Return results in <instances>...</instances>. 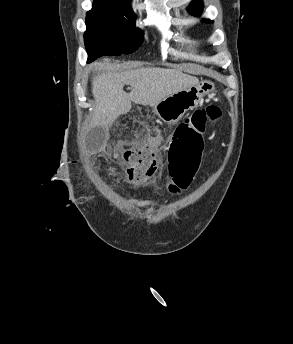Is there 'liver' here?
Here are the masks:
<instances>
[{"instance_id":"liver-1","label":"liver","mask_w":293,"mask_h":344,"mask_svg":"<svg viewBox=\"0 0 293 344\" xmlns=\"http://www.w3.org/2000/svg\"><path fill=\"white\" fill-rule=\"evenodd\" d=\"M199 83L197 77L177 69L141 68L123 73H107L94 78L93 126L108 128L120 115L130 111L131 102L155 106L166 97ZM130 85L127 94L123 87Z\"/></svg>"}]
</instances>
